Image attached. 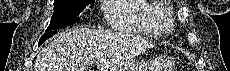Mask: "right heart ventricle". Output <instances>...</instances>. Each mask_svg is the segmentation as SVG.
<instances>
[{
    "mask_svg": "<svg viewBox=\"0 0 230 71\" xmlns=\"http://www.w3.org/2000/svg\"><path fill=\"white\" fill-rule=\"evenodd\" d=\"M107 20L116 30L162 35L171 30L167 1L118 0L109 3Z\"/></svg>",
    "mask_w": 230,
    "mask_h": 71,
    "instance_id": "e07e8e85",
    "label": "right heart ventricle"
}]
</instances>
